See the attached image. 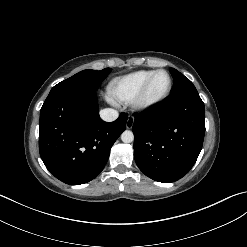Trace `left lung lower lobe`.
<instances>
[{"mask_svg":"<svg viewBox=\"0 0 247 247\" xmlns=\"http://www.w3.org/2000/svg\"><path fill=\"white\" fill-rule=\"evenodd\" d=\"M132 130L139 169L155 181L174 182L190 171L202 149L204 103L198 93L170 96L135 114Z\"/></svg>","mask_w":247,"mask_h":247,"instance_id":"0a47b994","label":"left lung lower lobe"}]
</instances>
